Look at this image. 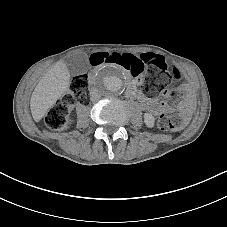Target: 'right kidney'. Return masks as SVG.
Listing matches in <instances>:
<instances>
[{"label": "right kidney", "mask_w": 227, "mask_h": 227, "mask_svg": "<svg viewBox=\"0 0 227 227\" xmlns=\"http://www.w3.org/2000/svg\"><path fill=\"white\" fill-rule=\"evenodd\" d=\"M71 123V121H67L59 130H65L69 127V124Z\"/></svg>", "instance_id": "1"}]
</instances>
